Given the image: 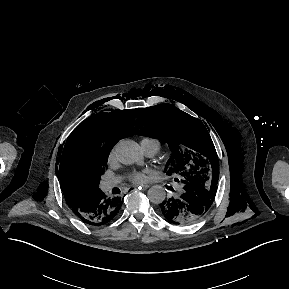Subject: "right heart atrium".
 <instances>
[{"label": "right heart atrium", "mask_w": 289, "mask_h": 289, "mask_svg": "<svg viewBox=\"0 0 289 289\" xmlns=\"http://www.w3.org/2000/svg\"><path fill=\"white\" fill-rule=\"evenodd\" d=\"M114 158H115V149H112L111 152L109 153L108 160L111 162L114 160Z\"/></svg>", "instance_id": "d8ad5b80"}]
</instances>
